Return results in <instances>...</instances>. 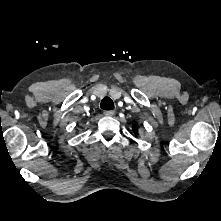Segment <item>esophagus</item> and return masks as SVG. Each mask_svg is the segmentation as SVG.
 <instances>
[{
  "label": "esophagus",
  "mask_w": 221,
  "mask_h": 221,
  "mask_svg": "<svg viewBox=\"0 0 221 221\" xmlns=\"http://www.w3.org/2000/svg\"><path fill=\"white\" fill-rule=\"evenodd\" d=\"M104 114L106 116H113L115 114V111H113V110H106V111H104Z\"/></svg>",
  "instance_id": "esophagus-1"
}]
</instances>
